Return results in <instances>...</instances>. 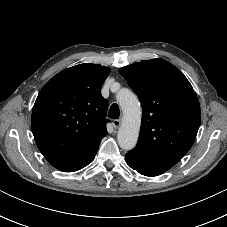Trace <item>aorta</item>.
Wrapping results in <instances>:
<instances>
[{
  "label": "aorta",
  "instance_id": "762f6f07",
  "mask_svg": "<svg viewBox=\"0 0 227 227\" xmlns=\"http://www.w3.org/2000/svg\"><path fill=\"white\" fill-rule=\"evenodd\" d=\"M117 101L123 112V121L117 133L119 146L124 150L133 149L138 141L142 110L137 96L128 89L117 93Z\"/></svg>",
  "mask_w": 227,
  "mask_h": 227
}]
</instances>
